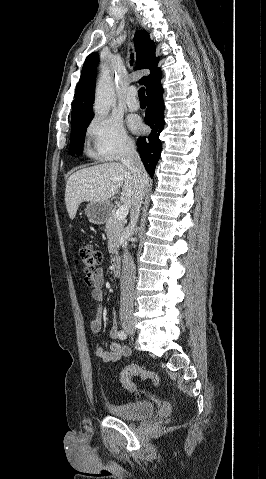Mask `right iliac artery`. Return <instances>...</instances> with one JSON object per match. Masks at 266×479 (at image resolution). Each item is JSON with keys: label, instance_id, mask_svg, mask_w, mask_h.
Masks as SVG:
<instances>
[{"label": "right iliac artery", "instance_id": "1", "mask_svg": "<svg viewBox=\"0 0 266 479\" xmlns=\"http://www.w3.org/2000/svg\"><path fill=\"white\" fill-rule=\"evenodd\" d=\"M118 337H119V339H121V340H125V339L127 338V334H126L125 331L120 330V331L118 332Z\"/></svg>", "mask_w": 266, "mask_h": 479}]
</instances>
